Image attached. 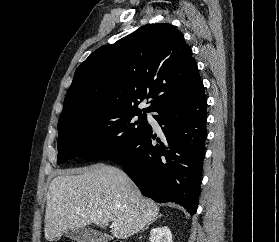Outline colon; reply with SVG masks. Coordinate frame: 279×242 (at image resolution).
Instances as JSON below:
<instances>
[{"label": "colon", "mask_w": 279, "mask_h": 242, "mask_svg": "<svg viewBox=\"0 0 279 242\" xmlns=\"http://www.w3.org/2000/svg\"><path fill=\"white\" fill-rule=\"evenodd\" d=\"M66 242H72V241H66ZM114 242H122V241H120V240H116V241H114Z\"/></svg>", "instance_id": "1"}]
</instances>
